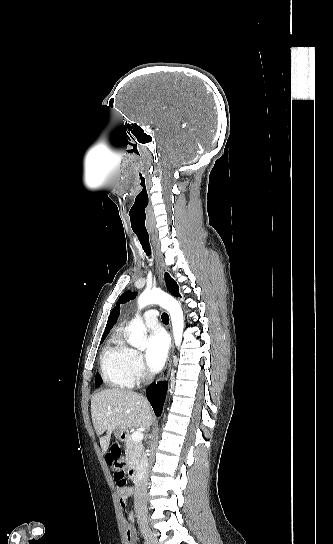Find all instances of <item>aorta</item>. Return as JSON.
Masks as SVG:
<instances>
[{
	"label": "aorta",
	"mask_w": 333,
	"mask_h": 544,
	"mask_svg": "<svg viewBox=\"0 0 333 544\" xmlns=\"http://www.w3.org/2000/svg\"><path fill=\"white\" fill-rule=\"evenodd\" d=\"M137 302L139 310L150 304H159L169 312L172 321L174 341L176 346H180L184 329V320L183 311L178 301L161 290L153 289L141 293ZM136 317L137 319L133 324L129 336V343L135 348L143 349V339L146 330L144 323L138 314Z\"/></svg>",
	"instance_id": "aorta-1"
}]
</instances>
